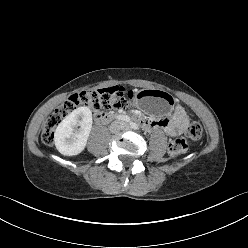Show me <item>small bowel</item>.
<instances>
[{
    "mask_svg": "<svg viewBox=\"0 0 248 248\" xmlns=\"http://www.w3.org/2000/svg\"><path fill=\"white\" fill-rule=\"evenodd\" d=\"M141 123L147 129H162L167 136L174 138L183 132L188 123V116L185 110L178 106L175 109L173 118L162 120L141 119Z\"/></svg>",
    "mask_w": 248,
    "mask_h": 248,
    "instance_id": "obj_1",
    "label": "small bowel"
}]
</instances>
